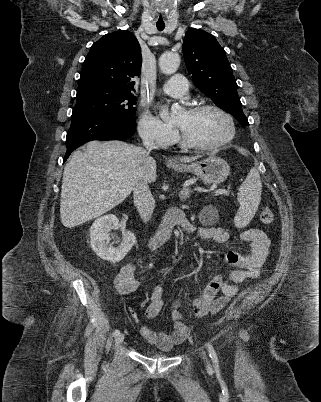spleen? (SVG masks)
I'll use <instances>...</instances> for the list:
<instances>
[{"instance_id": "spleen-1", "label": "spleen", "mask_w": 321, "mask_h": 402, "mask_svg": "<svg viewBox=\"0 0 321 402\" xmlns=\"http://www.w3.org/2000/svg\"><path fill=\"white\" fill-rule=\"evenodd\" d=\"M261 191L262 183L259 172L253 167L241 184L237 195L240 204L234 217V224L237 228L245 227L254 217L261 200Z\"/></svg>"}]
</instances>
